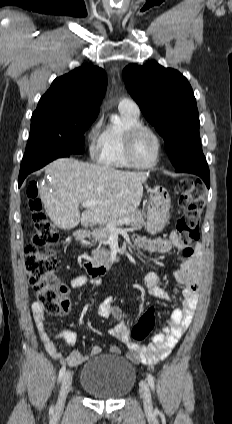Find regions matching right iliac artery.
<instances>
[{"label": "right iliac artery", "instance_id": "1", "mask_svg": "<svg viewBox=\"0 0 232 424\" xmlns=\"http://www.w3.org/2000/svg\"><path fill=\"white\" fill-rule=\"evenodd\" d=\"M65 371H66V367L63 365L59 371L58 382H61V380L63 379L65 375ZM51 410L53 411V407H51Z\"/></svg>", "mask_w": 232, "mask_h": 424}]
</instances>
